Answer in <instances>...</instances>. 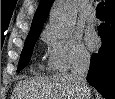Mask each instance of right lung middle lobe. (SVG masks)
I'll return each mask as SVG.
<instances>
[{"label":"right lung middle lobe","mask_w":115,"mask_h":99,"mask_svg":"<svg viewBox=\"0 0 115 99\" xmlns=\"http://www.w3.org/2000/svg\"><path fill=\"white\" fill-rule=\"evenodd\" d=\"M39 35L40 34H33V35H29L27 37L25 44H24V48H23L21 56H20L17 72L22 70L29 63V60H30V57H31V54L33 51V47H34L35 42L37 41Z\"/></svg>","instance_id":"dd1d6c3e"}]
</instances>
